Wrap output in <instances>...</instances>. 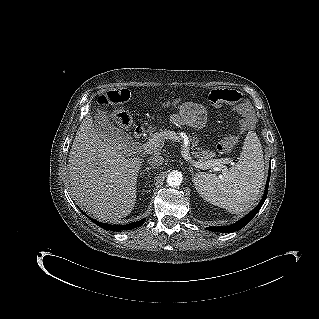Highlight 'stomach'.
<instances>
[{
    "mask_svg": "<svg viewBox=\"0 0 319 319\" xmlns=\"http://www.w3.org/2000/svg\"><path fill=\"white\" fill-rule=\"evenodd\" d=\"M180 113L184 123L195 129H201L207 123L206 110L200 106L185 104L182 106Z\"/></svg>",
    "mask_w": 319,
    "mask_h": 319,
    "instance_id": "0dacf381",
    "label": "stomach"
}]
</instances>
